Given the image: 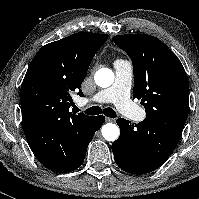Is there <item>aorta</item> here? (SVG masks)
Returning <instances> with one entry per match:
<instances>
[{"mask_svg": "<svg viewBox=\"0 0 199 199\" xmlns=\"http://www.w3.org/2000/svg\"><path fill=\"white\" fill-rule=\"evenodd\" d=\"M94 80L102 88L109 87L114 81V73L108 68L99 69ZM102 135L107 141H115L119 136V127L113 123H107L102 127Z\"/></svg>", "mask_w": 199, "mask_h": 199, "instance_id": "762f6f07", "label": "aorta"}]
</instances>
